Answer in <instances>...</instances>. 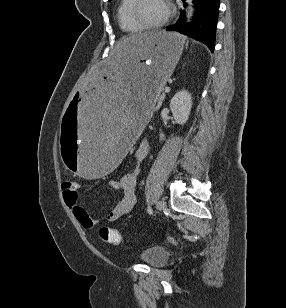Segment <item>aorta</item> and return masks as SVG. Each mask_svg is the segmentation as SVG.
<instances>
[{
  "instance_id": "obj_1",
  "label": "aorta",
  "mask_w": 286,
  "mask_h": 308,
  "mask_svg": "<svg viewBox=\"0 0 286 308\" xmlns=\"http://www.w3.org/2000/svg\"><path fill=\"white\" fill-rule=\"evenodd\" d=\"M194 14V10L191 6L188 7V11L186 14V22H190Z\"/></svg>"
}]
</instances>
